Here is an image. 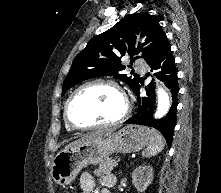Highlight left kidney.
Instances as JSON below:
<instances>
[{
  "label": "left kidney",
  "instance_id": "5707ae66",
  "mask_svg": "<svg viewBox=\"0 0 221 193\" xmlns=\"http://www.w3.org/2000/svg\"><path fill=\"white\" fill-rule=\"evenodd\" d=\"M153 180V168L149 165H141L132 173V182L139 192H144Z\"/></svg>",
  "mask_w": 221,
  "mask_h": 193
}]
</instances>
